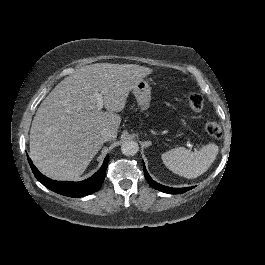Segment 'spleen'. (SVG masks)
Listing matches in <instances>:
<instances>
[{
  "mask_svg": "<svg viewBox=\"0 0 265 265\" xmlns=\"http://www.w3.org/2000/svg\"><path fill=\"white\" fill-rule=\"evenodd\" d=\"M217 155L216 145L202 147L199 151H190L181 146L163 153L162 160L175 173L195 179L208 171Z\"/></svg>",
  "mask_w": 265,
  "mask_h": 265,
  "instance_id": "3e777b00",
  "label": "spleen"
}]
</instances>
